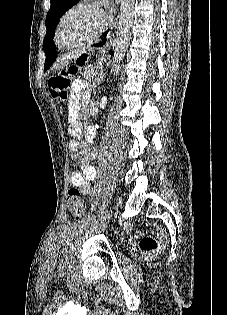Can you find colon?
I'll return each instance as SVG.
<instances>
[{
  "label": "colon",
  "instance_id": "obj_1",
  "mask_svg": "<svg viewBox=\"0 0 227 315\" xmlns=\"http://www.w3.org/2000/svg\"><path fill=\"white\" fill-rule=\"evenodd\" d=\"M85 60L82 57L67 67L59 70L48 81V85L53 97L59 101H65L68 96V89L72 78L79 72L84 65ZM67 208L72 216L79 219L84 215L85 207L77 188H71L67 195ZM157 236L139 235V245L143 255L146 258H153L161 253L165 247L166 233L161 226L156 228Z\"/></svg>",
  "mask_w": 227,
  "mask_h": 315
}]
</instances>
